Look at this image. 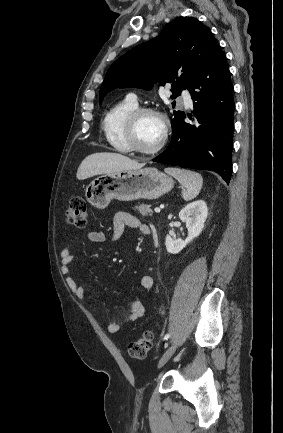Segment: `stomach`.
Here are the masks:
<instances>
[{
  "label": "stomach",
  "instance_id": "1",
  "mask_svg": "<svg viewBox=\"0 0 283 433\" xmlns=\"http://www.w3.org/2000/svg\"><path fill=\"white\" fill-rule=\"evenodd\" d=\"M174 180L157 168H137L120 170L111 174H101L85 188V196L93 206L105 208L112 198L117 200H154L173 188Z\"/></svg>",
  "mask_w": 283,
  "mask_h": 433
}]
</instances>
